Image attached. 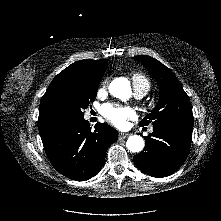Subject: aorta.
Segmentation results:
<instances>
[{"mask_svg":"<svg viewBox=\"0 0 221 221\" xmlns=\"http://www.w3.org/2000/svg\"><path fill=\"white\" fill-rule=\"evenodd\" d=\"M109 92L119 99H127L131 96V86L127 78L119 77L109 85ZM126 146L131 152H140L144 148V140L139 135H132L127 139Z\"/></svg>","mask_w":221,"mask_h":221,"instance_id":"obj_1","label":"aorta"}]
</instances>
